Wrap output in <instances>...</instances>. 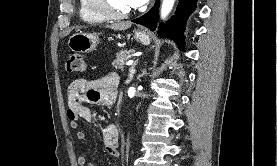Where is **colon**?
I'll list each match as a JSON object with an SVG mask.
<instances>
[{"label": "colon", "instance_id": "obj_1", "mask_svg": "<svg viewBox=\"0 0 277 166\" xmlns=\"http://www.w3.org/2000/svg\"><path fill=\"white\" fill-rule=\"evenodd\" d=\"M65 68L70 73H83L86 69L84 56L81 54L71 55L65 63Z\"/></svg>", "mask_w": 277, "mask_h": 166}]
</instances>
